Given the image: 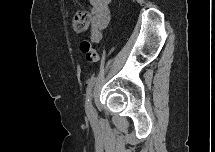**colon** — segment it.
Instances as JSON below:
<instances>
[{
    "mask_svg": "<svg viewBox=\"0 0 215 152\" xmlns=\"http://www.w3.org/2000/svg\"><path fill=\"white\" fill-rule=\"evenodd\" d=\"M89 23L90 14L87 10L78 11L72 19L73 29L79 34L84 33L88 29ZM80 50L89 63H96L99 60L98 52L90 41L83 40L80 43Z\"/></svg>",
    "mask_w": 215,
    "mask_h": 152,
    "instance_id": "1",
    "label": "colon"
}]
</instances>
